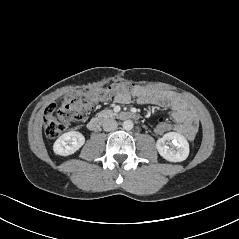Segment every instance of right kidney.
<instances>
[{
    "instance_id": "ca27d5eb",
    "label": "right kidney",
    "mask_w": 239,
    "mask_h": 239,
    "mask_svg": "<svg viewBox=\"0 0 239 239\" xmlns=\"http://www.w3.org/2000/svg\"><path fill=\"white\" fill-rule=\"evenodd\" d=\"M85 143L84 136L77 131H70L62 134L54 143V153L61 156H68L79 150Z\"/></svg>"
}]
</instances>
